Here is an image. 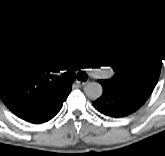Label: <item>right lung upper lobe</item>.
<instances>
[{
  "instance_id": "cb5924a9",
  "label": "right lung upper lobe",
  "mask_w": 165,
  "mask_h": 156,
  "mask_svg": "<svg viewBox=\"0 0 165 156\" xmlns=\"http://www.w3.org/2000/svg\"><path fill=\"white\" fill-rule=\"evenodd\" d=\"M53 58L49 36L43 33L0 46V98L18 117L43 111L68 89L45 75Z\"/></svg>"
}]
</instances>
